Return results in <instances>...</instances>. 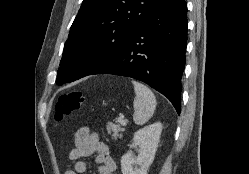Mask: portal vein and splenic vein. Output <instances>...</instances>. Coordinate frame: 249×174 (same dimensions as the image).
Returning <instances> with one entry per match:
<instances>
[{"instance_id":"obj_1","label":"portal vein and splenic vein","mask_w":249,"mask_h":174,"mask_svg":"<svg viewBox=\"0 0 249 174\" xmlns=\"http://www.w3.org/2000/svg\"><path fill=\"white\" fill-rule=\"evenodd\" d=\"M118 122L120 123V124H122V125H126V123H127V121L124 119V117H119L118 118Z\"/></svg>"}]
</instances>
